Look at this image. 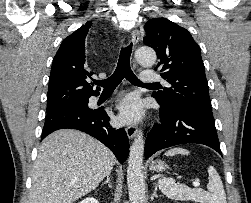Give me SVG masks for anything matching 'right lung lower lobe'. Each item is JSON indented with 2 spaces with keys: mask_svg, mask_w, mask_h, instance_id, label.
Segmentation results:
<instances>
[{
  "mask_svg": "<svg viewBox=\"0 0 251 203\" xmlns=\"http://www.w3.org/2000/svg\"><path fill=\"white\" fill-rule=\"evenodd\" d=\"M109 120L105 110L89 108L86 99L84 104H73L47 112L41 140L59 129L80 130L101 141L123 163L129 154L127 134L123 128L111 127Z\"/></svg>",
  "mask_w": 251,
  "mask_h": 203,
  "instance_id": "obj_1",
  "label": "right lung lower lobe"
}]
</instances>
